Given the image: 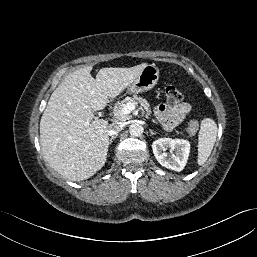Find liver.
Returning a JSON list of instances; mask_svg holds the SVG:
<instances>
[{
	"label": "liver",
	"mask_w": 257,
	"mask_h": 257,
	"mask_svg": "<svg viewBox=\"0 0 257 257\" xmlns=\"http://www.w3.org/2000/svg\"><path fill=\"white\" fill-rule=\"evenodd\" d=\"M102 68L94 79L92 66L67 75L52 93L40 121V145L49 165L71 181L88 179L106 162L108 122L94 120L109 98L118 96L147 66Z\"/></svg>",
	"instance_id": "obj_1"
}]
</instances>
